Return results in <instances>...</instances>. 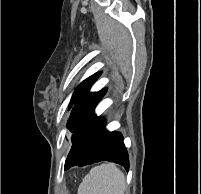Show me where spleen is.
I'll return each instance as SVG.
<instances>
[{
	"label": "spleen",
	"instance_id": "3e777b00",
	"mask_svg": "<svg viewBox=\"0 0 201 194\" xmlns=\"http://www.w3.org/2000/svg\"><path fill=\"white\" fill-rule=\"evenodd\" d=\"M125 176L115 164L94 167L79 185L78 194H124Z\"/></svg>",
	"mask_w": 201,
	"mask_h": 194
}]
</instances>
